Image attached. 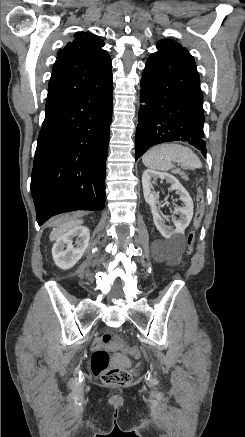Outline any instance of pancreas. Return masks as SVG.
<instances>
[{"mask_svg": "<svg viewBox=\"0 0 245 437\" xmlns=\"http://www.w3.org/2000/svg\"><path fill=\"white\" fill-rule=\"evenodd\" d=\"M174 173L176 174H180L182 179H187V176L185 175V173L181 172L180 170H175Z\"/></svg>", "mask_w": 245, "mask_h": 437, "instance_id": "cf45deb5", "label": "pancreas"}]
</instances>
